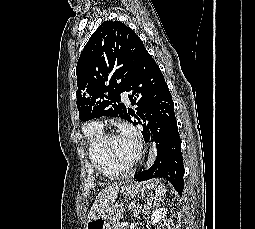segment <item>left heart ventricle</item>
<instances>
[{
    "label": "left heart ventricle",
    "mask_w": 255,
    "mask_h": 229,
    "mask_svg": "<svg viewBox=\"0 0 255 229\" xmlns=\"http://www.w3.org/2000/svg\"><path fill=\"white\" fill-rule=\"evenodd\" d=\"M107 151L113 160L128 162L135 156L137 146L128 143L118 135L109 139L107 143Z\"/></svg>",
    "instance_id": "obj_1"
}]
</instances>
